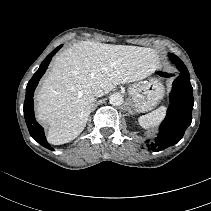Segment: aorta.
I'll use <instances>...</instances> for the list:
<instances>
[{
    "label": "aorta",
    "mask_w": 211,
    "mask_h": 211,
    "mask_svg": "<svg viewBox=\"0 0 211 211\" xmlns=\"http://www.w3.org/2000/svg\"><path fill=\"white\" fill-rule=\"evenodd\" d=\"M109 102L114 106H119L123 103V96L119 93H114L110 96Z\"/></svg>",
    "instance_id": "obj_1"
}]
</instances>
